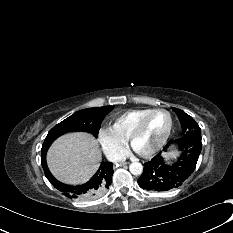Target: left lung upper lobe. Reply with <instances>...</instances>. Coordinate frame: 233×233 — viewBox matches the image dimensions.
I'll return each mask as SVG.
<instances>
[{"mask_svg":"<svg viewBox=\"0 0 233 233\" xmlns=\"http://www.w3.org/2000/svg\"><path fill=\"white\" fill-rule=\"evenodd\" d=\"M173 111L178 115L183 132L178 144L187 145L188 147H193L194 144L201 145V129L196 121L180 109L173 108Z\"/></svg>","mask_w":233,"mask_h":233,"instance_id":"5c2ea615","label":"left lung upper lobe"}]
</instances>
